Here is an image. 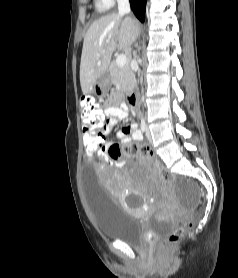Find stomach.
Returning a JSON list of instances; mask_svg holds the SVG:
<instances>
[{
	"mask_svg": "<svg viewBox=\"0 0 238 278\" xmlns=\"http://www.w3.org/2000/svg\"><path fill=\"white\" fill-rule=\"evenodd\" d=\"M111 84H112V79L110 74L108 72L104 73L99 78L96 85L94 86L95 95H99V98L103 99L104 93H107V89L111 86Z\"/></svg>",
	"mask_w": 238,
	"mask_h": 278,
	"instance_id": "0dacf381",
	"label": "stomach"
}]
</instances>
